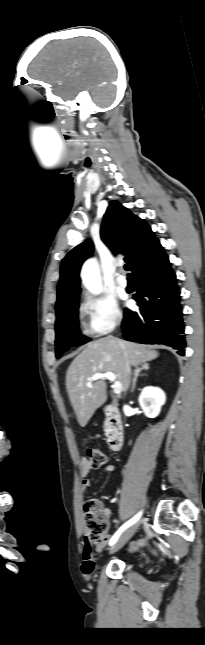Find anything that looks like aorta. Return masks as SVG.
<instances>
[{
    "mask_svg": "<svg viewBox=\"0 0 205 645\" xmlns=\"http://www.w3.org/2000/svg\"><path fill=\"white\" fill-rule=\"evenodd\" d=\"M82 280L87 287V289L94 293L99 294L102 290L100 275L98 271L97 264L94 260L90 259L85 262L82 268Z\"/></svg>",
    "mask_w": 205,
    "mask_h": 645,
    "instance_id": "762f6f07",
    "label": "aorta"
}]
</instances>
